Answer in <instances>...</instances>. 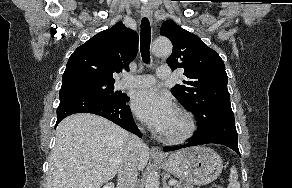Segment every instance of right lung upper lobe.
Segmentation results:
<instances>
[{
	"mask_svg": "<svg viewBox=\"0 0 292 188\" xmlns=\"http://www.w3.org/2000/svg\"><path fill=\"white\" fill-rule=\"evenodd\" d=\"M138 41L136 31L118 22L74 51L67 62L63 80L95 78L115 81L112 74L128 70L129 63L137 54Z\"/></svg>",
	"mask_w": 292,
	"mask_h": 188,
	"instance_id": "1",
	"label": "right lung upper lobe"
}]
</instances>
